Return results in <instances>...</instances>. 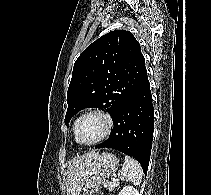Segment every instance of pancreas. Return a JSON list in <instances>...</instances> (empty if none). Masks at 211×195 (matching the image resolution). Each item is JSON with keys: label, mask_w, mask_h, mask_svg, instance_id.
<instances>
[{"label": "pancreas", "mask_w": 211, "mask_h": 195, "mask_svg": "<svg viewBox=\"0 0 211 195\" xmlns=\"http://www.w3.org/2000/svg\"><path fill=\"white\" fill-rule=\"evenodd\" d=\"M119 185V183L117 182H114V183H111V182H105L103 184L104 187L108 188L110 191L114 190L115 187H117Z\"/></svg>", "instance_id": "obj_1"}]
</instances>
